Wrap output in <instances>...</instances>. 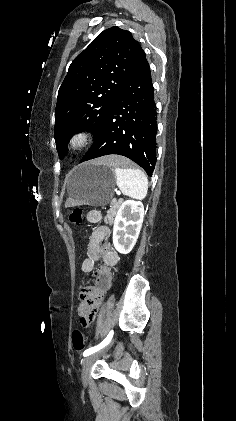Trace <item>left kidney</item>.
<instances>
[{
    "label": "left kidney",
    "mask_w": 236,
    "mask_h": 421,
    "mask_svg": "<svg viewBox=\"0 0 236 421\" xmlns=\"http://www.w3.org/2000/svg\"><path fill=\"white\" fill-rule=\"evenodd\" d=\"M144 219L142 202L124 200L115 217L113 227V245L122 255L132 251L141 231Z\"/></svg>",
    "instance_id": "1"
}]
</instances>
